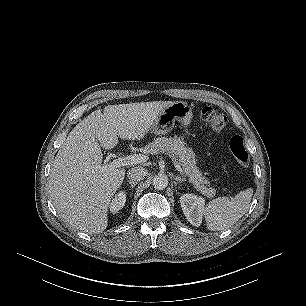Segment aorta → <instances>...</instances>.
Masks as SVG:
<instances>
[{
  "mask_svg": "<svg viewBox=\"0 0 306 306\" xmlns=\"http://www.w3.org/2000/svg\"><path fill=\"white\" fill-rule=\"evenodd\" d=\"M153 186L157 190H163L168 186V177L165 174H158L153 178Z\"/></svg>",
  "mask_w": 306,
  "mask_h": 306,
  "instance_id": "obj_1",
  "label": "aorta"
}]
</instances>
